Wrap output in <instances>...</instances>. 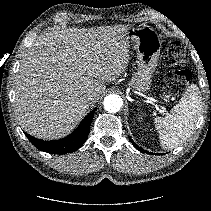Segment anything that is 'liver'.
I'll list each match as a JSON object with an SVG mask.
<instances>
[{"label": "liver", "instance_id": "6515ba94", "mask_svg": "<svg viewBox=\"0 0 211 211\" xmlns=\"http://www.w3.org/2000/svg\"><path fill=\"white\" fill-rule=\"evenodd\" d=\"M127 26L56 28L42 34L20 62L15 111L23 130L39 139L65 137L126 69ZM94 95L92 104L83 101Z\"/></svg>", "mask_w": 211, "mask_h": 211}]
</instances>
